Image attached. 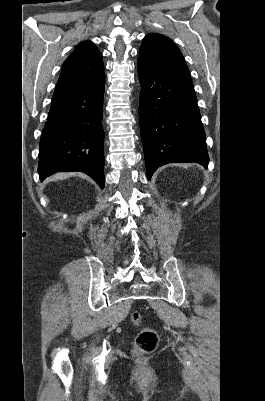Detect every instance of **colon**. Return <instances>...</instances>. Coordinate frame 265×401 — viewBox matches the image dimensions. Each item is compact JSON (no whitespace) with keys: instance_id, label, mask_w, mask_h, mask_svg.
<instances>
[{"instance_id":"colon-1","label":"colon","mask_w":265,"mask_h":401,"mask_svg":"<svg viewBox=\"0 0 265 401\" xmlns=\"http://www.w3.org/2000/svg\"><path fill=\"white\" fill-rule=\"evenodd\" d=\"M130 321L133 325L139 326L142 323V315L138 311H133L130 315ZM159 337L152 328H143L135 337L133 343V354L143 356L153 352L158 345Z\"/></svg>"}]
</instances>
